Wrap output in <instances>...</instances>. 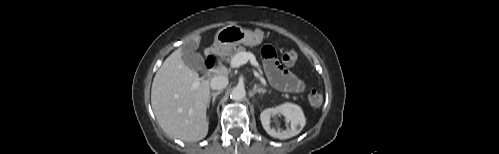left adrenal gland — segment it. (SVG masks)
<instances>
[{
    "label": "left adrenal gland",
    "mask_w": 499,
    "mask_h": 154,
    "mask_svg": "<svg viewBox=\"0 0 499 154\" xmlns=\"http://www.w3.org/2000/svg\"><path fill=\"white\" fill-rule=\"evenodd\" d=\"M253 92L254 93H266V90L265 89H262V88H257L256 86L253 88Z\"/></svg>",
    "instance_id": "1"
}]
</instances>
